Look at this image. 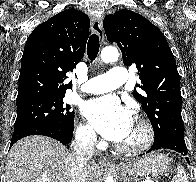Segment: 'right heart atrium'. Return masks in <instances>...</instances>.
<instances>
[{"label":"right heart atrium","instance_id":"1","mask_svg":"<svg viewBox=\"0 0 196 182\" xmlns=\"http://www.w3.org/2000/svg\"><path fill=\"white\" fill-rule=\"evenodd\" d=\"M76 138L85 146L92 147L97 144V136L90 124L82 123L76 129Z\"/></svg>","mask_w":196,"mask_h":182}]
</instances>
